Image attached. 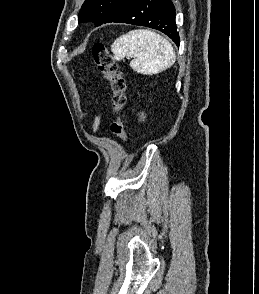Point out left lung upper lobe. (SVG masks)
<instances>
[{
    "label": "left lung upper lobe",
    "mask_w": 259,
    "mask_h": 294,
    "mask_svg": "<svg viewBox=\"0 0 259 294\" xmlns=\"http://www.w3.org/2000/svg\"><path fill=\"white\" fill-rule=\"evenodd\" d=\"M124 0H86L79 13V21H92L100 26L111 11Z\"/></svg>",
    "instance_id": "5c2ea615"
}]
</instances>
